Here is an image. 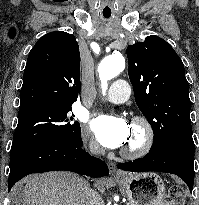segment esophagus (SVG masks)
<instances>
[{
	"instance_id": "1",
	"label": "esophagus",
	"mask_w": 199,
	"mask_h": 205,
	"mask_svg": "<svg viewBox=\"0 0 199 205\" xmlns=\"http://www.w3.org/2000/svg\"><path fill=\"white\" fill-rule=\"evenodd\" d=\"M110 173L113 177H121V172L116 168V165L113 162L108 164Z\"/></svg>"
}]
</instances>
